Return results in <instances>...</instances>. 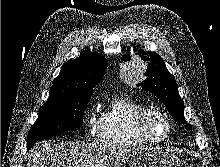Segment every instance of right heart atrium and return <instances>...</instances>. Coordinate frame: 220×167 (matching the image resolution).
I'll return each instance as SVG.
<instances>
[{
  "instance_id": "right-heart-atrium-1",
  "label": "right heart atrium",
  "mask_w": 220,
  "mask_h": 167,
  "mask_svg": "<svg viewBox=\"0 0 220 167\" xmlns=\"http://www.w3.org/2000/svg\"><path fill=\"white\" fill-rule=\"evenodd\" d=\"M101 118L96 110H92L87 119V129L89 132L94 131L100 124Z\"/></svg>"
}]
</instances>
